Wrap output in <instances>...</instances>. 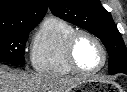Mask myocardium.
<instances>
[{
    "label": "myocardium",
    "instance_id": "1",
    "mask_svg": "<svg viewBox=\"0 0 127 92\" xmlns=\"http://www.w3.org/2000/svg\"><path fill=\"white\" fill-rule=\"evenodd\" d=\"M82 36H87L90 39H92L97 46L99 47L101 53H102V63L101 65L94 69V70H85L82 69L75 58V46L78 41V39ZM65 55H66V60L71 67V69L79 74H95L100 72L107 63V51L105 46L103 45L102 41L92 32L87 31V30H75L67 39L66 42V47H65Z\"/></svg>",
    "mask_w": 127,
    "mask_h": 92
}]
</instances>
